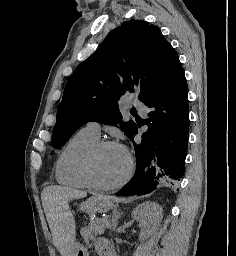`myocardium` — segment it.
Segmentation results:
<instances>
[{"label":"myocardium","instance_id":"obj_1","mask_svg":"<svg viewBox=\"0 0 236 256\" xmlns=\"http://www.w3.org/2000/svg\"><path fill=\"white\" fill-rule=\"evenodd\" d=\"M112 146H116L114 142H111V141L100 142L91 150V152L87 157L86 164H85V176L89 186L96 191H100V192L115 191L123 187L130 180L132 176L133 158L128 152H126L127 169L125 174L119 181L111 185H103L97 180L96 173H95L96 159L103 150Z\"/></svg>","mask_w":236,"mask_h":256}]
</instances>
